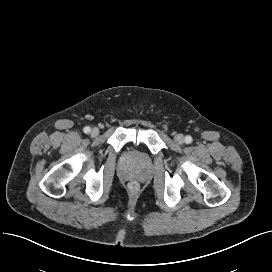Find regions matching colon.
Instances as JSON below:
<instances>
[{"label":"colon","instance_id":"5ec220e1","mask_svg":"<svg viewBox=\"0 0 272 272\" xmlns=\"http://www.w3.org/2000/svg\"><path fill=\"white\" fill-rule=\"evenodd\" d=\"M131 188H132L133 190L137 189V184H136V183H132V184H131Z\"/></svg>","mask_w":272,"mask_h":272}]
</instances>
